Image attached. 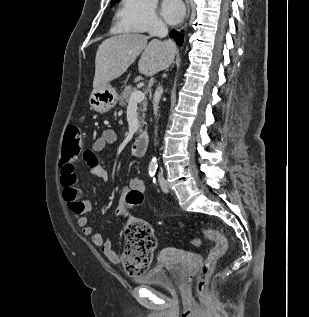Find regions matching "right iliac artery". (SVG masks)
<instances>
[{"label":"right iliac artery","instance_id":"right-iliac-artery-1","mask_svg":"<svg viewBox=\"0 0 309 317\" xmlns=\"http://www.w3.org/2000/svg\"><path fill=\"white\" fill-rule=\"evenodd\" d=\"M156 170H157V165H150L149 166V175L151 177H153L156 173Z\"/></svg>","mask_w":309,"mask_h":317}]
</instances>
